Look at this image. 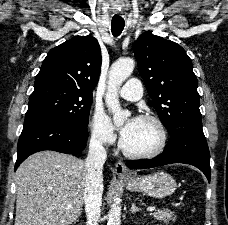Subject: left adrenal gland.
I'll return each instance as SVG.
<instances>
[{
	"mask_svg": "<svg viewBox=\"0 0 228 225\" xmlns=\"http://www.w3.org/2000/svg\"><path fill=\"white\" fill-rule=\"evenodd\" d=\"M137 211H140L139 207H136L135 203H132V207H131L132 215H134V213H137Z\"/></svg>",
	"mask_w": 228,
	"mask_h": 225,
	"instance_id": "left-adrenal-gland-1",
	"label": "left adrenal gland"
}]
</instances>
